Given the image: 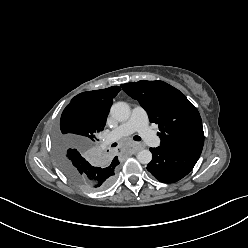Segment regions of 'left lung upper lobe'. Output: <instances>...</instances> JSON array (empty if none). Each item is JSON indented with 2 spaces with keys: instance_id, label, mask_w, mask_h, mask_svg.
<instances>
[{
  "instance_id": "5c2ea615",
  "label": "left lung upper lobe",
  "mask_w": 248,
  "mask_h": 248,
  "mask_svg": "<svg viewBox=\"0 0 248 248\" xmlns=\"http://www.w3.org/2000/svg\"><path fill=\"white\" fill-rule=\"evenodd\" d=\"M159 126L161 145L169 147L188 141H204L202 120L185 95L163 81L141 80L121 85Z\"/></svg>"
}]
</instances>
